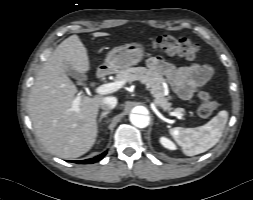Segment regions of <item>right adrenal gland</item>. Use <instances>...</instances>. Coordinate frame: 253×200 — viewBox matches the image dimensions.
<instances>
[{
  "instance_id": "obj_1",
  "label": "right adrenal gland",
  "mask_w": 253,
  "mask_h": 200,
  "mask_svg": "<svg viewBox=\"0 0 253 200\" xmlns=\"http://www.w3.org/2000/svg\"><path fill=\"white\" fill-rule=\"evenodd\" d=\"M109 113H110L109 110L103 111V112L101 113V115H100V117H99V120H98L99 124L101 123V121H102L103 118H106V117H107V115H108Z\"/></svg>"
}]
</instances>
